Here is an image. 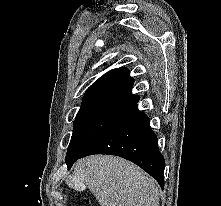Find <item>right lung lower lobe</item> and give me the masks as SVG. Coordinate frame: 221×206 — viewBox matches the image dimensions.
Returning a JSON list of instances; mask_svg holds the SVG:
<instances>
[{"instance_id":"obj_1","label":"right lung lower lobe","mask_w":221,"mask_h":206,"mask_svg":"<svg viewBox=\"0 0 221 206\" xmlns=\"http://www.w3.org/2000/svg\"><path fill=\"white\" fill-rule=\"evenodd\" d=\"M157 143L158 139L150 128L148 116L134 104L97 136L76 159L67 162V166L70 169L77 159L92 154L116 155L140 166L164 188L165 161Z\"/></svg>"}]
</instances>
